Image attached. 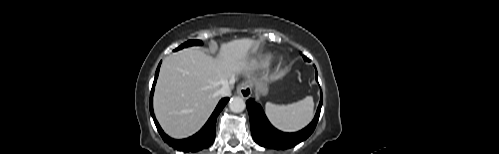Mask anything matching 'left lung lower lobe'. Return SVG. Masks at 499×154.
I'll use <instances>...</instances> for the list:
<instances>
[{
	"label": "left lung lower lobe",
	"mask_w": 499,
	"mask_h": 154,
	"mask_svg": "<svg viewBox=\"0 0 499 154\" xmlns=\"http://www.w3.org/2000/svg\"><path fill=\"white\" fill-rule=\"evenodd\" d=\"M246 106L250 117L251 133L255 142L263 147L288 149L307 139L314 131L322 106V92L314 119L307 127L295 133H284L274 128L266 118L261 106L254 102V100H247Z\"/></svg>",
	"instance_id": "obj_1"
}]
</instances>
